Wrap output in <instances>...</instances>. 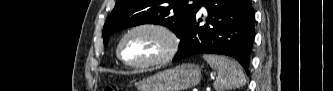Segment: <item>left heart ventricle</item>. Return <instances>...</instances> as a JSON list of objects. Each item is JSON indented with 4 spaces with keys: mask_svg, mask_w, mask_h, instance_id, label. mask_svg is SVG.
<instances>
[{
    "mask_svg": "<svg viewBox=\"0 0 333 91\" xmlns=\"http://www.w3.org/2000/svg\"><path fill=\"white\" fill-rule=\"evenodd\" d=\"M166 40L153 31H137L125 41L123 54L132 63L145 62L162 56L166 50Z\"/></svg>",
    "mask_w": 333,
    "mask_h": 91,
    "instance_id": "left-heart-ventricle-1",
    "label": "left heart ventricle"
}]
</instances>
